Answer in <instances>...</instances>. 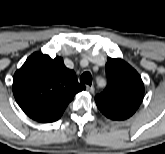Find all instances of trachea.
<instances>
[{
	"mask_svg": "<svg viewBox=\"0 0 165 154\" xmlns=\"http://www.w3.org/2000/svg\"><path fill=\"white\" fill-rule=\"evenodd\" d=\"M80 82L91 85L92 84V75L90 72L86 71L80 76Z\"/></svg>",
	"mask_w": 165,
	"mask_h": 154,
	"instance_id": "obj_1",
	"label": "trachea"
}]
</instances>
